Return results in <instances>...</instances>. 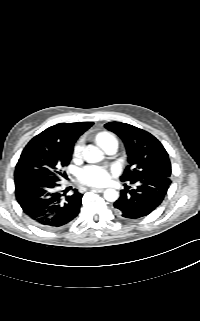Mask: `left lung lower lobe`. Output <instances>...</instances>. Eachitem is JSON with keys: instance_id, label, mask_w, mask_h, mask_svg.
I'll list each match as a JSON object with an SVG mask.
<instances>
[{"instance_id": "obj_1", "label": "left lung lower lobe", "mask_w": 200, "mask_h": 321, "mask_svg": "<svg viewBox=\"0 0 200 321\" xmlns=\"http://www.w3.org/2000/svg\"><path fill=\"white\" fill-rule=\"evenodd\" d=\"M135 189L124 184L120 198L114 203L118 214L126 219H138L150 214L163 201L171 180L165 177H145L130 181Z\"/></svg>"}]
</instances>
